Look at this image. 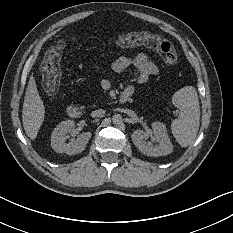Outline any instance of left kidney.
I'll use <instances>...</instances> for the list:
<instances>
[{
    "label": "left kidney",
    "instance_id": "left-kidney-1",
    "mask_svg": "<svg viewBox=\"0 0 233 233\" xmlns=\"http://www.w3.org/2000/svg\"><path fill=\"white\" fill-rule=\"evenodd\" d=\"M153 131H143V130H135L131 135L133 144L138 148V150L147 156H165L173 151V145L170 142L168 137L166 126L160 122L152 123ZM152 141L159 143L157 146H153L151 142H146L150 135Z\"/></svg>",
    "mask_w": 233,
    "mask_h": 233
}]
</instances>
